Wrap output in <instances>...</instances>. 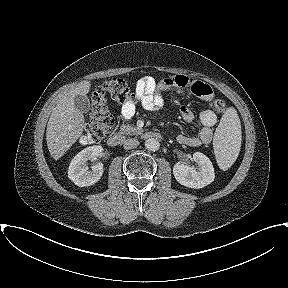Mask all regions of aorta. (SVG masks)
I'll return each mask as SVG.
<instances>
[{
	"label": "aorta",
	"instance_id": "1",
	"mask_svg": "<svg viewBox=\"0 0 288 288\" xmlns=\"http://www.w3.org/2000/svg\"><path fill=\"white\" fill-rule=\"evenodd\" d=\"M159 141L154 138H149L145 141V147L149 151H156L159 149Z\"/></svg>",
	"mask_w": 288,
	"mask_h": 288
}]
</instances>
